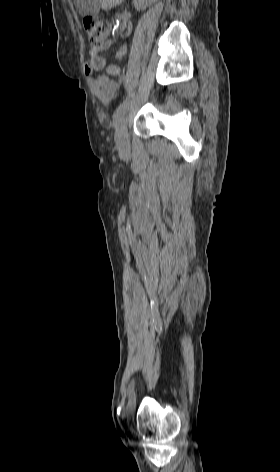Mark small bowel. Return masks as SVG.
I'll return each instance as SVG.
<instances>
[{
	"label": "small bowel",
	"instance_id": "1",
	"mask_svg": "<svg viewBox=\"0 0 280 472\" xmlns=\"http://www.w3.org/2000/svg\"><path fill=\"white\" fill-rule=\"evenodd\" d=\"M116 39L117 37L114 38V41ZM106 48L107 46L92 49L89 52V61L84 64L88 86L103 104H109L117 95L119 86L111 77L120 75V68L115 64H108L100 55V51ZM124 52L125 48L119 52V56L123 55ZM98 72L103 73L95 75Z\"/></svg>",
	"mask_w": 280,
	"mask_h": 472
}]
</instances>
